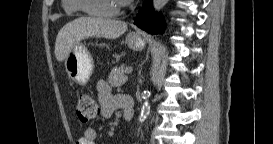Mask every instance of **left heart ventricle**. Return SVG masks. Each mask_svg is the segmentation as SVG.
Instances as JSON below:
<instances>
[{"label":"left heart ventricle","mask_w":273,"mask_h":144,"mask_svg":"<svg viewBox=\"0 0 273 144\" xmlns=\"http://www.w3.org/2000/svg\"><path fill=\"white\" fill-rule=\"evenodd\" d=\"M89 5L99 10H112L118 6L116 0H92Z\"/></svg>","instance_id":"1"}]
</instances>
